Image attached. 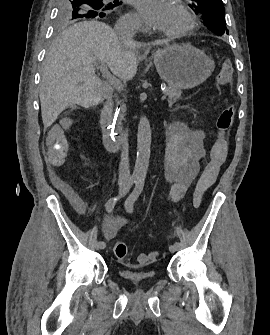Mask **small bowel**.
Instances as JSON below:
<instances>
[{"mask_svg":"<svg viewBox=\"0 0 270 335\" xmlns=\"http://www.w3.org/2000/svg\"><path fill=\"white\" fill-rule=\"evenodd\" d=\"M72 126V120L64 118L51 131V138L48 139L50 149H46V156H65L67 144L64 133ZM167 151L164 161V176L172 183L170 201H180L193 179L197 176L199 162L205 154L203 144L204 134L200 130H191L182 122H174L168 125L166 130ZM50 165H61V158H50ZM124 221L117 218L115 221L105 220L102 230L107 238H111L116 230L117 224Z\"/></svg>","mask_w":270,"mask_h":335,"instance_id":"small-bowel-1","label":"small bowel"}]
</instances>
